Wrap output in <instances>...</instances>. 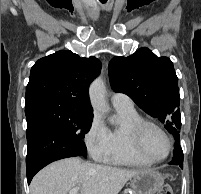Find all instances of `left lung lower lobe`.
Masks as SVG:
<instances>
[{"label":"left lung lower lobe","mask_w":201,"mask_h":194,"mask_svg":"<svg viewBox=\"0 0 201 194\" xmlns=\"http://www.w3.org/2000/svg\"><path fill=\"white\" fill-rule=\"evenodd\" d=\"M174 139H175V149H174L173 159L169 164L178 165L180 166V168L183 169V151L179 144L180 137L176 136L174 137Z\"/></svg>","instance_id":"0a47b994"}]
</instances>
